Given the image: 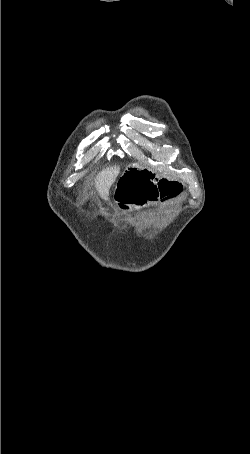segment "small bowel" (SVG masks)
I'll return each instance as SVG.
<instances>
[{
	"label": "small bowel",
	"instance_id": "c3829d8e",
	"mask_svg": "<svg viewBox=\"0 0 250 454\" xmlns=\"http://www.w3.org/2000/svg\"><path fill=\"white\" fill-rule=\"evenodd\" d=\"M182 191L179 183L156 178L152 173L131 170L117 182L115 201L122 209L170 200Z\"/></svg>",
	"mask_w": 250,
	"mask_h": 454
}]
</instances>
